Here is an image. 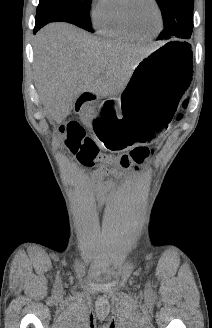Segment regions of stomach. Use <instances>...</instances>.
Wrapping results in <instances>:
<instances>
[{
	"instance_id": "1",
	"label": "stomach",
	"mask_w": 212,
	"mask_h": 328,
	"mask_svg": "<svg viewBox=\"0 0 212 328\" xmlns=\"http://www.w3.org/2000/svg\"><path fill=\"white\" fill-rule=\"evenodd\" d=\"M190 79L186 49L167 43L154 49L135 67L118 102L97 103L92 134L104 149L126 151L138 143L157 139L170 127L179 97Z\"/></svg>"
}]
</instances>
